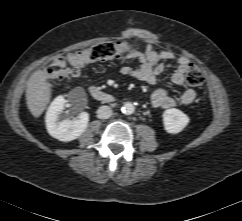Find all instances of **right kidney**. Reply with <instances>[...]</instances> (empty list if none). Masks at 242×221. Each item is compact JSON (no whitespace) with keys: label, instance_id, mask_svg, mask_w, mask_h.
<instances>
[{"label":"right kidney","instance_id":"obj_1","mask_svg":"<svg viewBox=\"0 0 242 221\" xmlns=\"http://www.w3.org/2000/svg\"><path fill=\"white\" fill-rule=\"evenodd\" d=\"M76 107L77 104L73 100H66L62 95L56 97L50 104L46 117V128L48 133L64 142L77 139L87 128L89 115L87 112H81L77 119H65L60 121L59 116L64 110L65 104Z\"/></svg>","mask_w":242,"mask_h":221}]
</instances>
